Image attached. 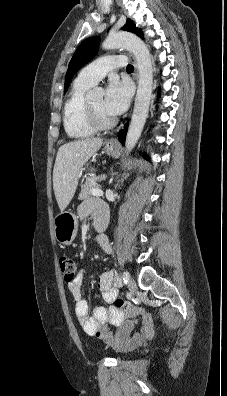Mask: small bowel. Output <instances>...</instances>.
<instances>
[{"label": "small bowel", "instance_id": "obj_1", "mask_svg": "<svg viewBox=\"0 0 227 396\" xmlns=\"http://www.w3.org/2000/svg\"><path fill=\"white\" fill-rule=\"evenodd\" d=\"M91 214L96 220L103 214L108 216V211L102 201L90 200L80 206L79 215L81 218H86ZM97 244L104 251H111V245L106 236H99ZM84 276V271H79L73 281L68 284V290L75 301V315L88 335L95 336L115 347L135 345L153 336V320L149 314L127 303L122 308L116 307L115 302L119 299V283L113 271H105L99 277L101 298L108 306H98L90 314L88 302L83 294ZM137 323H140L141 327L135 331ZM108 325L117 326V332L112 334Z\"/></svg>", "mask_w": 227, "mask_h": 396}]
</instances>
